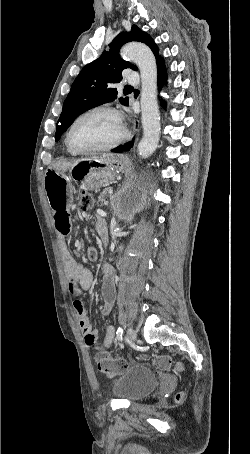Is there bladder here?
Instances as JSON below:
<instances>
[{
  "label": "bladder",
  "instance_id": "31cf9c89",
  "mask_svg": "<svg viewBox=\"0 0 250 454\" xmlns=\"http://www.w3.org/2000/svg\"><path fill=\"white\" fill-rule=\"evenodd\" d=\"M158 383V375L147 366H131L111 384V392L119 399L138 401L149 395Z\"/></svg>",
  "mask_w": 250,
  "mask_h": 454
}]
</instances>
